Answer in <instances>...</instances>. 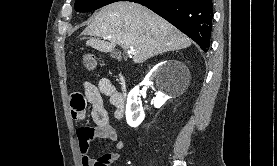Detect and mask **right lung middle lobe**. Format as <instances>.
Returning <instances> with one entry per match:
<instances>
[{
	"label": "right lung middle lobe",
	"instance_id": "obj_1",
	"mask_svg": "<svg viewBox=\"0 0 277 166\" xmlns=\"http://www.w3.org/2000/svg\"><path fill=\"white\" fill-rule=\"evenodd\" d=\"M116 1L121 0H76L74 8L77 12H88Z\"/></svg>",
	"mask_w": 277,
	"mask_h": 166
}]
</instances>
